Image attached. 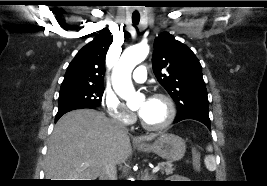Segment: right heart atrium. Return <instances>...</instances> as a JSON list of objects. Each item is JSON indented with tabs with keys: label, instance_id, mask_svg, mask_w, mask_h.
Listing matches in <instances>:
<instances>
[{
	"label": "right heart atrium",
	"instance_id": "d8ad5b80",
	"mask_svg": "<svg viewBox=\"0 0 267 186\" xmlns=\"http://www.w3.org/2000/svg\"><path fill=\"white\" fill-rule=\"evenodd\" d=\"M101 103L112 120L123 125H130L133 122V113L128 110L117 94L111 89L107 88L104 90Z\"/></svg>",
	"mask_w": 267,
	"mask_h": 186
}]
</instances>
